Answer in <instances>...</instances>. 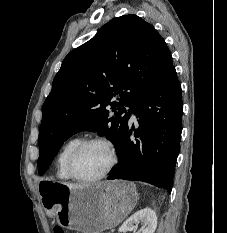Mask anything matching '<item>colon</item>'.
Listing matches in <instances>:
<instances>
[{
  "label": "colon",
  "mask_w": 227,
  "mask_h": 233,
  "mask_svg": "<svg viewBox=\"0 0 227 233\" xmlns=\"http://www.w3.org/2000/svg\"><path fill=\"white\" fill-rule=\"evenodd\" d=\"M53 233H68L66 230H64L63 228L59 227V226H56L54 228V231Z\"/></svg>",
  "instance_id": "1"
}]
</instances>
